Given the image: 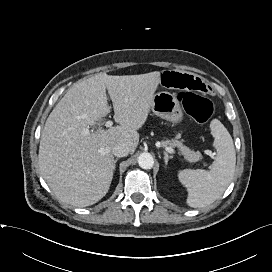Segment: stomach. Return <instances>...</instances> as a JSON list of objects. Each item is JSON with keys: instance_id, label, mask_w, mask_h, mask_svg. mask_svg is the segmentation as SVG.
Returning <instances> with one entry per match:
<instances>
[{"instance_id": "stomach-1", "label": "stomach", "mask_w": 272, "mask_h": 272, "mask_svg": "<svg viewBox=\"0 0 272 272\" xmlns=\"http://www.w3.org/2000/svg\"><path fill=\"white\" fill-rule=\"evenodd\" d=\"M151 110L155 115L173 123L180 122L183 117L178 99L174 94L166 91L154 94Z\"/></svg>"}]
</instances>
